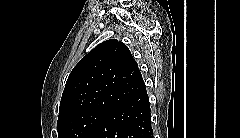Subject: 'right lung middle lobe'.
Listing matches in <instances>:
<instances>
[{
    "instance_id": "obj_1",
    "label": "right lung middle lobe",
    "mask_w": 240,
    "mask_h": 138,
    "mask_svg": "<svg viewBox=\"0 0 240 138\" xmlns=\"http://www.w3.org/2000/svg\"><path fill=\"white\" fill-rule=\"evenodd\" d=\"M106 111L84 110L58 119V138H86Z\"/></svg>"
}]
</instances>
